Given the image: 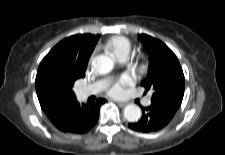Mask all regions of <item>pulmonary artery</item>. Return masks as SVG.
<instances>
[{
    "label": "pulmonary artery",
    "mask_w": 225,
    "mask_h": 155,
    "mask_svg": "<svg viewBox=\"0 0 225 155\" xmlns=\"http://www.w3.org/2000/svg\"><path fill=\"white\" fill-rule=\"evenodd\" d=\"M128 58H129L128 54H123V55L117 57L118 61H120V62H125L128 60ZM104 86H105L104 81H97L91 85L79 88L77 94H78L79 98L85 99V98L89 97L90 95L100 92L104 88ZM143 104L145 106H149L151 104L150 97H146L143 100Z\"/></svg>",
    "instance_id": "e3ab8cb5"
}]
</instances>
